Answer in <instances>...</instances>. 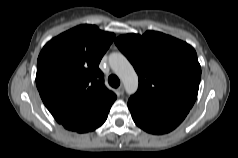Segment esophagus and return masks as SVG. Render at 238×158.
Instances as JSON below:
<instances>
[{
  "mask_svg": "<svg viewBox=\"0 0 238 158\" xmlns=\"http://www.w3.org/2000/svg\"><path fill=\"white\" fill-rule=\"evenodd\" d=\"M117 90H118V92H119L120 95H123V94H124V87H123L122 85L119 86Z\"/></svg>",
  "mask_w": 238,
  "mask_h": 158,
  "instance_id": "obj_1",
  "label": "esophagus"
}]
</instances>
